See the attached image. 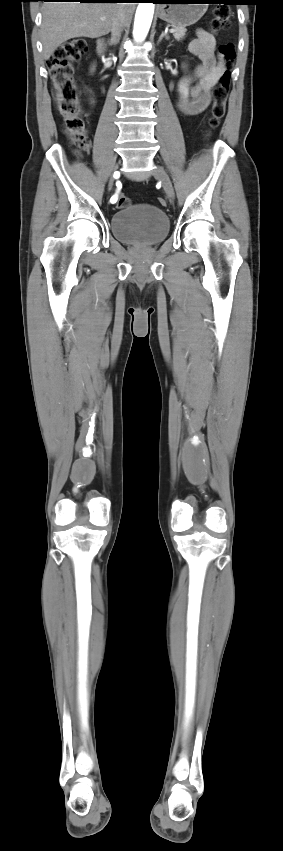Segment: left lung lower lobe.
<instances>
[{"instance_id":"1","label":"left lung lower lobe","mask_w":283,"mask_h":851,"mask_svg":"<svg viewBox=\"0 0 283 851\" xmlns=\"http://www.w3.org/2000/svg\"><path fill=\"white\" fill-rule=\"evenodd\" d=\"M154 1H156V0H154ZM212 2L223 3V4H226V5H237L239 0H214ZM155 3H160V2H155Z\"/></svg>"}]
</instances>
